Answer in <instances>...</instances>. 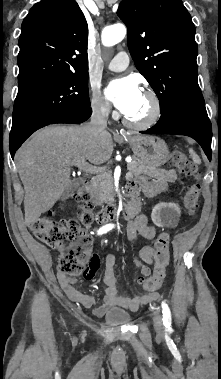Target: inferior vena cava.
<instances>
[{
    "instance_id": "obj_1",
    "label": "inferior vena cava",
    "mask_w": 221,
    "mask_h": 379,
    "mask_svg": "<svg viewBox=\"0 0 221 379\" xmlns=\"http://www.w3.org/2000/svg\"><path fill=\"white\" fill-rule=\"evenodd\" d=\"M108 115V107L102 104L93 105L90 122L85 126V130L90 134L94 135L105 132V129L107 127Z\"/></svg>"
}]
</instances>
